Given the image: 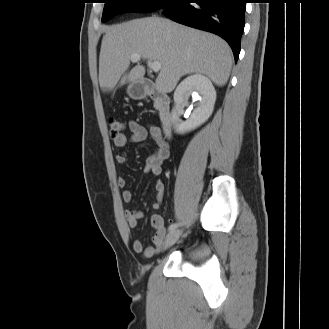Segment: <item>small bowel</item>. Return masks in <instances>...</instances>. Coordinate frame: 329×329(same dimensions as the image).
<instances>
[{"mask_svg": "<svg viewBox=\"0 0 329 329\" xmlns=\"http://www.w3.org/2000/svg\"><path fill=\"white\" fill-rule=\"evenodd\" d=\"M128 127L130 136L122 134L113 137L112 140L114 145L119 149H123L130 143L141 142L150 136L156 143V150L146 159L143 170L145 173L154 176L161 175L162 164L169 156V145L162 136L161 128L155 124L144 125L134 120L129 122ZM127 160L128 154L126 152H120L116 156V161L119 164H125ZM118 185L124 188L126 186V179L124 177H119ZM164 190L165 185L163 181L160 179L157 180L155 183V200L153 202L154 209H158L161 206ZM121 196L125 203H129L132 200V192L129 189H124ZM143 216V212L138 209L125 211V220L130 228H135ZM151 225L154 228L151 245L145 246L144 243L139 240H136L133 243V250L142 254L146 259L153 257L165 248L166 228L162 216L158 213L152 214Z\"/></svg>", "mask_w": 329, "mask_h": 329, "instance_id": "1", "label": "small bowel"}]
</instances>
